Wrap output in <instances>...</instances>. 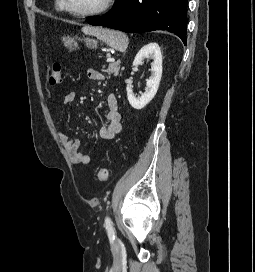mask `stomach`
I'll return each mask as SVG.
<instances>
[{"mask_svg":"<svg viewBox=\"0 0 255 272\" xmlns=\"http://www.w3.org/2000/svg\"><path fill=\"white\" fill-rule=\"evenodd\" d=\"M63 42L65 47H67L69 50H73L76 47H78L77 42L72 39L71 37H65L63 38ZM84 42L86 43V46L91 49H96L97 48V41L93 39H84Z\"/></svg>","mask_w":255,"mask_h":272,"instance_id":"1","label":"stomach"}]
</instances>
